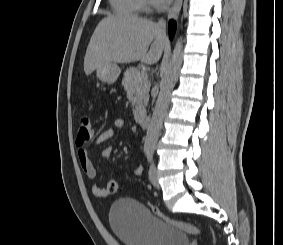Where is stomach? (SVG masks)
Here are the masks:
<instances>
[{"mask_svg": "<svg viewBox=\"0 0 283 245\" xmlns=\"http://www.w3.org/2000/svg\"><path fill=\"white\" fill-rule=\"evenodd\" d=\"M120 72L119 66L113 62L99 66L96 69L98 79L108 84L114 83L118 79Z\"/></svg>", "mask_w": 283, "mask_h": 245, "instance_id": "0dacf381", "label": "stomach"}]
</instances>
